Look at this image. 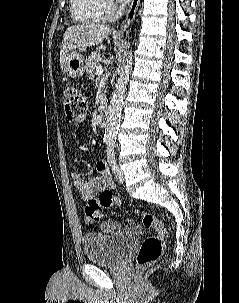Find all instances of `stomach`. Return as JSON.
I'll list each match as a JSON object with an SVG mask.
<instances>
[{
    "instance_id": "0dacf381",
    "label": "stomach",
    "mask_w": 239,
    "mask_h": 303,
    "mask_svg": "<svg viewBox=\"0 0 239 303\" xmlns=\"http://www.w3.org/2000/svg\"><path fill=\"white\" fill-rule=\"evenodd\" d=\"M62 68L70 77L82 76L85 70L83 56L76 50L68 53L62 62Z\"/></svg>"
}]
</instances>
